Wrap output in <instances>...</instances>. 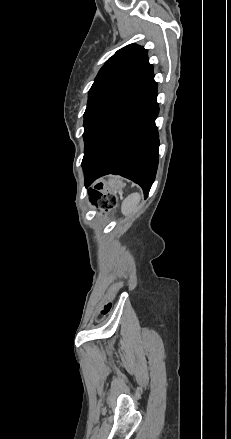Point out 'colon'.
I'll return each instance as SVG.
<instances>
[{
  "instance_id": "5ec220e1",
  "label": "colon",
  "mask_w": 231,
  "mask_h": 439,
  "mask_svg": "<svg viewBox=\"0 0 231 439\" xmlns=\"http://www.w3.org/2000/svg\"><path fill=\"white\" fill-rule=\"evenodd\" d=\"M95 203L103 211L112 210L117 203V199L112 194L93 193L92 194ZM117 296V289L113 288L110 292V299H114ZM110 311V305L106 304L101 308V314L106 315Z\"/></svg>"
}]
</instances>
